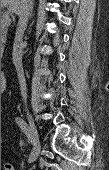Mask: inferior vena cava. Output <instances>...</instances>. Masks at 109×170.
Returning <instances> with one entry per match:
<instances>
[{"label":"inferior vena cava","instance_id":"1","mask_svg":"<svg viewBox=\"0 0 109 170\" xmlns=\"http://www.w3.org/2000/svg\"><path fill=\"white\" fill-rule=\"evenodd\" d=\"M33 0H22L21 11L19 13V21L17 25L14 45H13V63L16 68L18 81L20 85L21 96L26 102L27 99V88L26 81L22 66V55H23V34L26 29L28 18L32 10Z\"/></svg>","mask_w":109,"mask_h":170}]
</instances>
